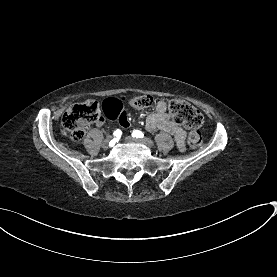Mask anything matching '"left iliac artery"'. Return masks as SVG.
Wrapping results in <instances>:
<instances>
[{"label":"left iliac artery","instance_id":"44dca946","mask_svg":"<svg viewBox=\"0 0 277 277\" xmlns=\"http://www.w3.org/2000/svg\"><path fill=\"white\" fill-rule=\"evenodd\" d=\"M132 136H133V137H136V138H142V137H144V133L141 132V131H139V130H134V131L132 132Z\"/></svg>","mask_w":277,"mask_h":277}]
</instances>
